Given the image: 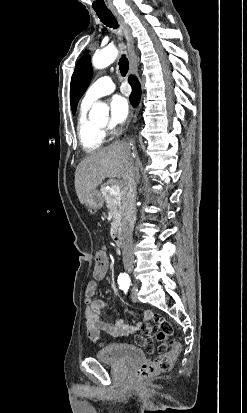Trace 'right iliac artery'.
<instances>
[{
  "label": "right iliac artery",
  "mask_w": 247,
  "mask_h": 413,
  "mask_svg": "<svg viewBox=\"0 0 247 413\" xmlns=\"http://www.w3.org/2000/svg\"><path fill=\"white\" fill-rule=\"evenodd\" d=\"M120 289H122V290L124 291V293L126 294L127 291H128V289H129V286L121 285V286H120Z\"/></svg>",
  "instance_id": "82829eb1"
}]
</instances>
